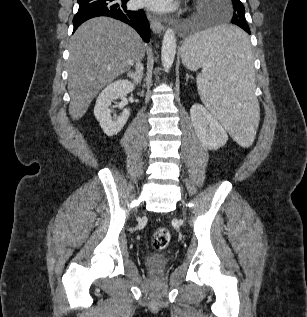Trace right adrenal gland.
I'll return each instance as SVG.
<instances>
[{
	"label": "right adrenal gland",
	"mask_w": 307,
	"mask_h": 317,
	"mask_svg": "<svg viewBox=\"0 0 307 317\" xmlns=\"http://www.w3.org/2000/svg\"><path fill=\"white\" fill-rule=\"evenodd\" d=\"M143 65L141 64L140 60L136 63V71H131L128 69V77L132 79L133 83L140 84L143 78Z\"/></svg>",
	"instance_id": "right-adrenal-gland-1"
}]
</instances>
